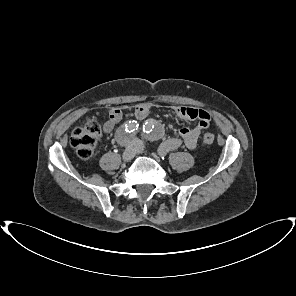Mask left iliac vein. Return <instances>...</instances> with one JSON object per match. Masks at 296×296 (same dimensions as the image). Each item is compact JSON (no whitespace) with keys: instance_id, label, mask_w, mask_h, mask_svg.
Returning <instances> with one entry per match:
<instances>
[{"instance_id":"4c4485c4","label":"left iliac vein","mask_w":296,"mask_h":296,"mask_svg":"<svg viewBox=\"0 0 296 296\" xmlns=\"http://www.w3.org/2000/svg\"><path fill=\"white\" fill-rule=\"evenodd\" d=\"M136 143V151L141 153L143 151V144L140 141H135Z\"/></svg>"}]
</instances>
